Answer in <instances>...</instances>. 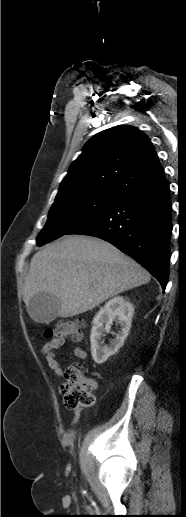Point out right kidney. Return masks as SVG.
<instances>
[{
    "mask_svg": "<svg viewBox=\"0 0 186 517\" xmlns=\"http://www.w3.org/2000/svg\"><path fill=\"white\" fill-rule=\"evenodd\" d=\"M133 314V304L121 296H116L106 302L104 307L95 315L92 321L93 327L90 341L91 354L97 364L104 363L123 346L131 328ZM113 321L119 323L121 330L116 334L115 339L110 341L108 346H102L103 341H101V337L104 336V332L110 331Z\"/></svg>",
    "mask_w": 186,
    "mask_h": 517,
    "instance_id": "obj_1",
    "label": "right kidney"
}]
</instances>
